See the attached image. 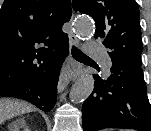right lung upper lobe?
<instances>
[{"label": "right lung upper lobe", "mask_w": 151, "mask_h": 131, "mask_svg": "<svg viewBox=\"0 0 151 131\" xmlns=\"http://www.w3.org/2000/svg\"><path fill=\"white\" fill-rule=\"evenodd\" d=\"M70 0H5L0 10V93L43 67L68 36ZM38 46H42L39 47Z\"/></svg>", "instance_id": "1"}]
</instances>
